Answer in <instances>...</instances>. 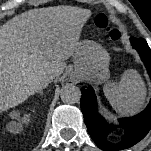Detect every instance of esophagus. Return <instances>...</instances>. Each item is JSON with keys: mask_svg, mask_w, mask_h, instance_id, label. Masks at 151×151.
I'll list each match as a JSON object with an SVG mask.
<instances>
[{"mask_svg": "<svg viewBox=\"0 0 151 151\" xmlns=\"http://www.w3.org/2000/svg\"><path fill=\"white\" fill-rule=\"evenodd\" d=\"M71 82H72V83H77V80L73 78V79L71 80Z\"/></svg>", "mask_w": 151, "mask_h": 151, "instance_id": "obj_1", "label": "esophagus"}]
</instances>
